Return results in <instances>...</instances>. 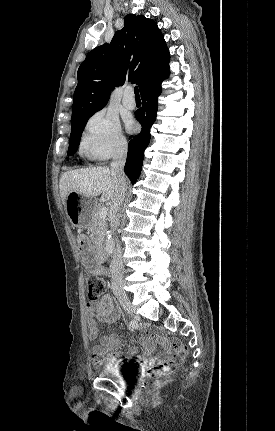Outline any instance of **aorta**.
Returning a JSON list of instances; mask_svg holds the SVG:
<instances>
[{
  "instance_id": "762f6f07",
  "label": "aorta",
  "mask_w": 275,
  "mask_h": 431,
  "mask_svg": "<svg viewBox=\"0 0 275 431\" xmlns=\"http://www.w3.org/2000/svg\"><path fill=\"white\" fill-rule=\"evenodd\" d=\"M104 249L107 255H111L114 252V239L111 232L107 233Z\"/></svg>"
}]
</instances>
